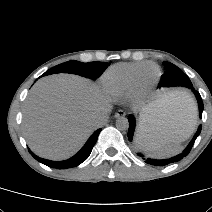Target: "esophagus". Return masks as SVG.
I'll list each match as a JSON object with an SVG mask.
<instances>
[{
    "label": "esophagus",
    "instance_id": "esophagus-1",
    "mask_svg": "<svg viewBox=\"0 0 212 212\" xmlns=\"http://www.w3.org/2000/svg\"><path fill=\"white\" fill-rule=\"evenodd\" d=\"M125 115H126V113H125L123 110H118V111L115 113V117H116V118L124 117Z\"/></svg>",
    "mask_w": 212,
    "mask_h": 212
}]
</instances>
